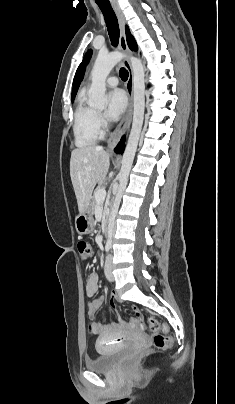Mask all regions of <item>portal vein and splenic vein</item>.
<instances>
[{"label":"portal vein and splenic vein","mask_w":235,"mask_h":404,"mask_svg":"<svg viewBox=\"0 0 235 404\" xmlns=\"http://www.w3.org/2000/svg\"><path fill=\"white\" fill-rule=\"evenodd\" d=\"M106 197V191L105 189H100L98 191L95 192V198L98 202H102L104 201Z\"/></svg>","instance_id":"1"}]
</instances>
